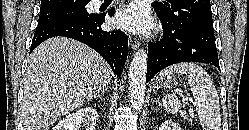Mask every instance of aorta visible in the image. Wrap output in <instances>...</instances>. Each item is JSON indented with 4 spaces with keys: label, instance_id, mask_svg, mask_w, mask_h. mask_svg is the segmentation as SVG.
<instances>
[{
    "label": "aorta",
    "instance_id": "obj_1",
    "mask_svg": "<svg viewBox=\"0 0 249 130\" xmlns=\"http://www.w3.org/2000/svg\"><path fill=\"white\" fill-rule=\"evenodd\" d=\"M148 56L145 49L136 51L128 74L130 103L134 110L140 111L144 105L146 92V73Z\"/></svg>",
    "mask_w": 249,
    "mask_h": 130
}]
</instances>
